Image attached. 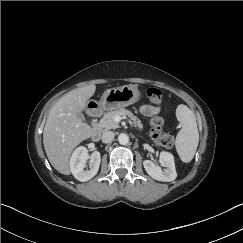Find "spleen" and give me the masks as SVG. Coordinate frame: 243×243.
Wrapping results in <instances>:
<instances>
[{
	"label": "spleen",
	"instance_id": "spleen-1",
	"mask_svg": "<svg viewBox=\"0 0 243 243\" xmlns=\"http://www.w3.org/2000/svg\"><path fill=\"white\" fill-rule=\"evenodd\" d=\"M176 117L182 129L176 136L175 147L180 159L188 163L193 159L199 142L196 119L193 112L183 104L177 107Z\"/></svg>",
	"mask_w": 243,
	"mask_h": 243
}]
</instances>
